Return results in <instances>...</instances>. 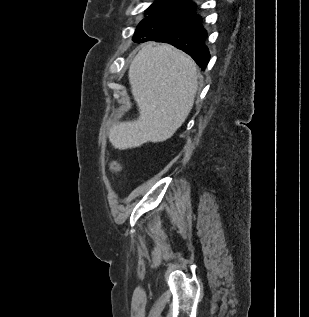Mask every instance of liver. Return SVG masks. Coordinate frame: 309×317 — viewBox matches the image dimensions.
I'll use <instances>...</instances> for the list:
<instances>
[{"label": "liver", "mask_w": 309, "mask_h": 317, "mask_svg": "<svg viewBox=\"0 0 309 317\" xmlns=\"http://www.w3.org/2000/svg\"><path fill=\"white\" fill-rule=\"evenodd\" d=\"M139 117L110 129L112 146L125 150L147 142H164L189 115L198 88L195 62L169 44H145L128 72Z\"/></svg>", "instance_id": "6515ba94"}]
</instances>
